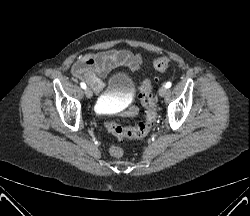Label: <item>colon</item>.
<instances>
[{
    "label": "colon",
    "mask_w": 250,
    "mask_h": 216,
    "mask_svg": "<svg viewBox=\"0 0 250 216\" xmlns=\"http://www.w3.org/2000/svg\"><path fill=\"white\" fill-rule=\"evenodd\" d=\"M171 60L167 56L157 58L153 66L155 70L163 72L169 68ZM139 99L145 107L144 120L131 126H122L114 121H106L107 130L119 139H136L145 137L150 133L156 119V103L152 94V79L146 78L143 80L140 90ZM110 154L114 157H121L123 150L119 146L113 145L110 147Z\"/></svg>",
    "instance_id": "5ec220e1"
}]
</instances>
